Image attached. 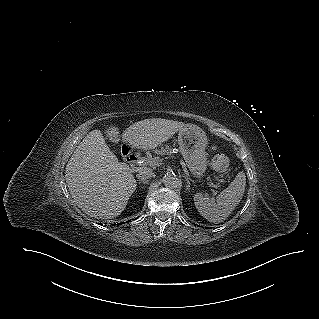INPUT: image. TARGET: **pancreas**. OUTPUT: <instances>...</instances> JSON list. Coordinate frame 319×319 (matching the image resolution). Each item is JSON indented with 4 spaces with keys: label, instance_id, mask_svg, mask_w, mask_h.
<instances>
[{
    "label": "pancreas",
    "instance_id": "obj_1",
    "mask_svg": "<svg viewBox=\"0 0 319 319\" xmlns=\"http://www.w3.org/2000/svg\"><path fill=\"white\" fill-rule=\"evenodd\" d=\"M172 151V149L168 146V145H160L159 148L155 149V153L157 155H168L170 154Z\"/></svg>",
    "mask_w": 319,
    "mask_h": 319
}]
</instances>
